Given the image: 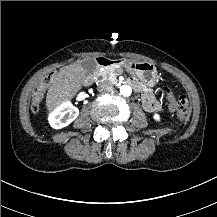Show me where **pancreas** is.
Instances as JSON below:
<instances>
[{
    "mask_svg": "<svg viewBox=\"0 0 217 217\" xmlns=\"http://www.w3.org/2000/svg\"><path fill=\"white\" fill-rule=\"evenodd\" d=\"M122 72H123V70L121 68H112V69L104 70L102 72V75H103L104 78L110 80L111 82L117 83L116 77L118 75H121ZM134 80L137 81L136 79H134ZM141 86H143V85H141ZM141 89L146 94L148 93V94L151 95L153 93V91L151 89L147 90L144 86Z\"/></svg>",
    "mask_w": 217,
    "mask_h": 217,
    "instance_id": "obj_1",
    "label": "pancreas"
}]
</instances>
